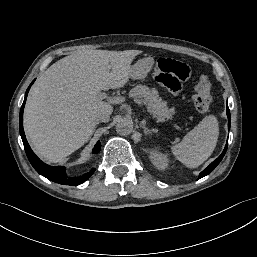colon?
Wrapping results in <instances>:
<instances>
[{"label":"colon","instance_id":"1","mask_svg":"<svg viewBox=\"0 0 257 257\" xmlns=\"http://www.w3.org/2000/svg\"><path fill=\"white\" fill-rule=\"evenodd\" d=\"M162 59H169V58H162ZM193 103H194L195 109L200 113L207 112L211 106V103H212L211 82L206 75L200 76L197 81V84L195 86Z\"/></svg>","mask_w":257,"mask_h":257}]
</instances>
